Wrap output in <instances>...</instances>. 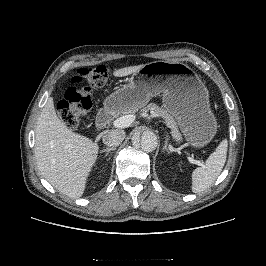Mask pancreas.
<instances>
[{
	"mask_svg": "<svg viewBox=\"0 0 266 266\" xmlns=\"http://www.w3.org/2000/svg\"><path fill=\"white\" fill-rule=\"evenodd\" d=\"M135 110H128V113H132ZM144 111H152L155 115L162 117L165 120L166 125L171 129V134L173 136V138L177 141V142H181L182 141V136L177 128V124L176 121L174 120V118L169 115L166 110H164L163 108H160L158 105L156 104H149L146 108H144Z\"/></svg>",
	"mask_w": 266,
	"mask_h": 266,
	"instance_id": "obj_1",
	"label": "pancreas"
}]
</instances>
